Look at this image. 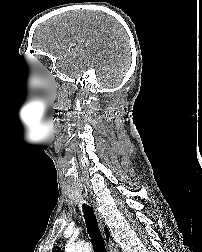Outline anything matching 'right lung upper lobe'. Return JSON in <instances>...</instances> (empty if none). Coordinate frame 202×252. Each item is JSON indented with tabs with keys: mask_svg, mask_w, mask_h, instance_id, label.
Listing matches in <instances>:
<instances>
[{
	"mask_svg": "<svg viewBox=\"0 0 202 252\" xmlns=\"http://www.w3.org/2000/svg\"><path fill=\"white\" fill-rule=\"evenodd\" d=\"M106 236L108 237L109 236V232H108V230L106 229Z\"/></svg>",
	"mask_w": 202,
	"mask_h": 252,
	"instance_id": "1",
	"label": "right lung upper lobe"
}]
</instances>
